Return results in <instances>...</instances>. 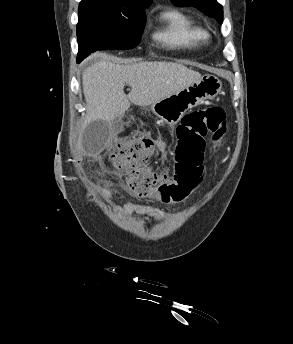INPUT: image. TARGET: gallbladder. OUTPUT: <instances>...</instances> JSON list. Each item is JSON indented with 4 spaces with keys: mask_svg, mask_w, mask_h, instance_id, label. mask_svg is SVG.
Returning a JSON list of instances; mask_svg holds the SVG:
<instances>
[{
    "mask_svg": "<svg viewBox=\"0 0 293 344\" xmlns=\"http://www.w3.org/2000/svg\"><path fill=\"white\" fill-rule=\"evenodd\" d=\"M110 137V128L106 121H91L85 128L82 136V146L86 153L100 152Z\"/></svg>",
    "mask_w": 293,
    "mask_h": 344,
    "instance_id": "bac80fb5",
    "label": "gallbladder"
}]
</instances>
